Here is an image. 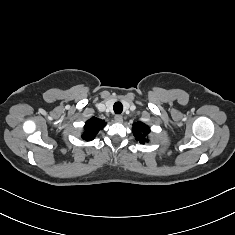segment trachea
<instances>
[{"mask_svg":"<svg viewBox=\"0 0 235 235\" xmlns=\"http://www.w3.org/2000/svg\"><path fill=\"white\" fill-rule=\"evenodd\" d=\"M114 112L116 114H121L123 111V105L121 102H116L113 106Z\"/></svg>","mask_w":235,"mask_h":235,"instance_id":"trachea-1","label":"trachea"}]
</instances>
